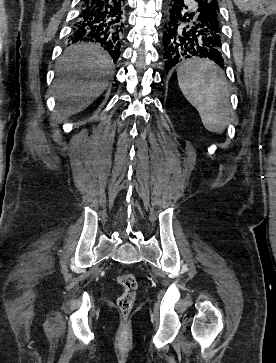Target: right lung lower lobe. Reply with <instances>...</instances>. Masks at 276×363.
Segmentation results:
<instances>
[{"label":"right lung lower lobe","instance_id":"98d812e1","mask_svg":"<svg viewBox=\"0 0 276 363\" xmlns=\"http://www.w3.org/2000/svg\"><path fill=\"white\" fill-rule=\"evenodd\" d=\"M125 31V0H81L70 41L98 43L116 62Z\"/></svg>","mask_w":276,"mask_h":363}]
</instances>
